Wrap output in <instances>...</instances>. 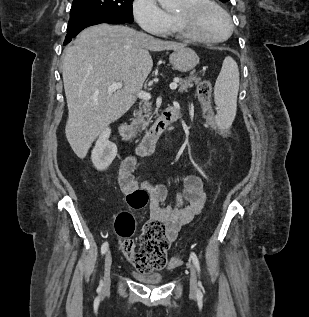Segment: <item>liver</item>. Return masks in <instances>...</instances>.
<instances>
[{"label":"liver","instance_id":"1","mask_svg":"<svg viewBox=\"0 0 309 317\" xmlns=\"http://www.w3.org/2000/svg\"><path fill=\"white\" fill-rule=\"evenodd\" d=\"M185 46L106 23L78 35L64 51L62 75L68 106L65 133L79 158H85L96 137L136 101L153 67L149 51ZM118 82L123 87L108 91Z\"/></svg>","mask_w":309,"mask_h":317}]
</instances>
